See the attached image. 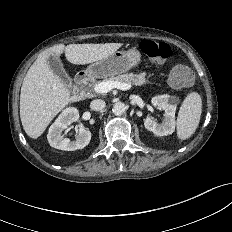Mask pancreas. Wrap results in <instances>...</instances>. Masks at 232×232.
Masks as SVG:
<instances>
[{
    "mask_svg": "<svg viewBox=\"0 0 232 232\" xmlns=\"http://www.w3.org/2000/svg\"><path fill=\"white\" fill-rule=\"evenodd\" d=\"M103 81H118L122 83H129L137 86L144 85L146 83H149L148 78L146 77V73H140V74H133V73H127L123 75H117V76H110L105 77ZM100 82L93 83V87Z\"/></svg>",
    "mask_w": 232,
    "mask_h": 232,
    "instance_id": "pancreas-1",
    "label": "pancreas"
}]
</instances>
